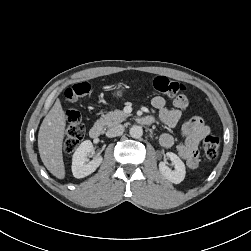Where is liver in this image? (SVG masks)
Wrapping results in <instances>:
<instances>
[{"label": "liver", "instance_id": "obj_1", "mask_svg": "<svg viewBox=\"0 0 251 251\" xmlns=\"http://www.w3.org/2000/svg\"><path fill=\"white\" fill-rule=\"evenodd\" d=\"M66 116L59 99L45 116L38 133L40 158L58 179L65 177L62 143L65 135Z\"/></svg>", "mask_w": 251, "mask_h": 251}]
</instances>
